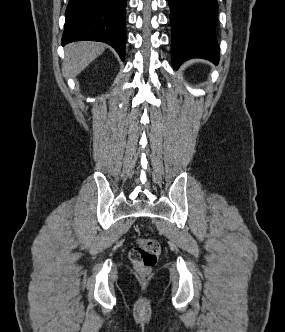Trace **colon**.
<instances>
[{
	"instance_id": "5ec220e1",
	"label": "colon",
	"mask_w": 285,
	"mask_h": 332,
	"mask_svg": "<svg viewBox=\"0 0 285 332\" xmlns=\"http://www.w3.org/2000/svg\"><path fill=\"white\" fill-rule=\"evenodd\" d=\"M160 254V245L154 239H140L130 251V260L141 274H147L155 266Z\"/></svg>"
}]
</instances>
